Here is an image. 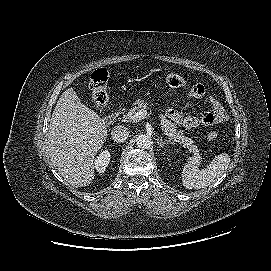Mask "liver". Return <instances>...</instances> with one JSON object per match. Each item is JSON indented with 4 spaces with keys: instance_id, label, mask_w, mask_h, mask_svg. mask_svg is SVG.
<instances>
[{
    "instance_id": "6515ba94",
    "label": "liver",
    "mask_w": 271,
    "mask_h": 271,
    "mask_svg": "<svg viewBox=\"0 0 271 271\" xmlns=\"http://www.w3.org/2000/svg\"><path fill=\"white\" fill-rule=\"evenodd\" d=\"M107 135L100 116L68 88L61 94L49 125L47 144L52 165L70 185H89L94 178V158Z\"/></svg>"
}]
</instances>
